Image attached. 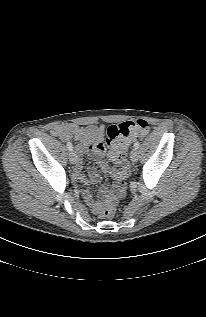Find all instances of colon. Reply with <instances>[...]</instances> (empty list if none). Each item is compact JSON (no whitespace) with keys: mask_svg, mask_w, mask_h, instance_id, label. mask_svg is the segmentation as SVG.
<instances>
[{"mask_svg":"<svg viewBox=\"0 0 206 317\" xmlns=\"http://www.w3.org/2000/svg\"><path fill=\"white\" fill-rule=\"evenodd\" d=\"M149 131V124L143 119L125 121L108 128L107 143L112 148L111 160L120 166L117 170H112L115 179V197L120 196L124 190V179L129 173L126 158V149L131 141L145 136ZM114 208L111 205L98 206L97 213L102 217H112Z\"/></svg>","mask_w":206,"mask_h":317,"instance_id":"colon-1","label":"colon"}]
</instances>
